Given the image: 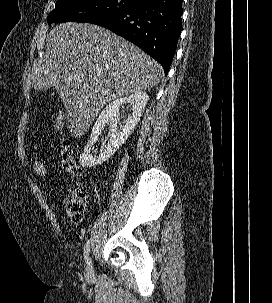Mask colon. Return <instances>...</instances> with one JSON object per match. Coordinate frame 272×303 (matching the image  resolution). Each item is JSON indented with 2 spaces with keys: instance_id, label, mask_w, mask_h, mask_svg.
<instances>
[{
  "instance_id": "1",
  "label": "colon",
  "mask_w": 272,
  "mask_h": 303,
  "mask_svg": "<svg viewBox=\"0 0 272 303\" xmlns=\"http://www.w3.org/2000/svg\"><path fill=\"white\" fill-rule=\"evenodd\" d=\"M54 128L57 131L63 130V117H58ZM60 159L64 169L74 178L79 176L80 169L74 160V153L71 142L63 138L60 146ZM35 176L45 178L48 175V167L44 159L34 157L31 163ZM86 190L79 184L70 187L63 199V209L66 215L72 220H80L85 211Z\"/></svg>"
}]
</instances>
